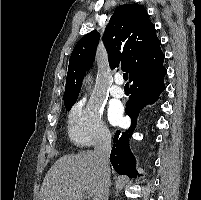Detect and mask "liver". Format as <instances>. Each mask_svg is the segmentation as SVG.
I'll use <instances>...</instances> for the list:
<instances>
[{
    "label": "liver",
    "mask_w": 201,
    "mask_h": 200,
    "mask_svg": "<svg viewBox=\"0 0 201 200\" xmlns=\"http://www.w3.org/2000/svg\"><path fill=\"white\" fill-rule=\"evenodd\" d=\"M102 173L93 151L60 157L46 174L39 200H84L88 192L97 200Z\"/></svg>",
    "instance_id": "6515ba94"
}]
</instances>
